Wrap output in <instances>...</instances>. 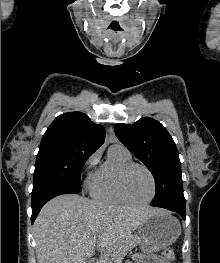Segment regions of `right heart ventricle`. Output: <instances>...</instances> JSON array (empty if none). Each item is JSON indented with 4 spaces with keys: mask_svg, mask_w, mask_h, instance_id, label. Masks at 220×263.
I'll return each mask as SVG.
<instances>
[{
    "mask_svg": "<svg viewBox=\"0 0 220 263\" xmlns=\"http://www.w3.org/2000/svg\"><path fill=\"white\" fill-rule=\"evenodd\" d=\"M132 162L129 152L117 146L110 147L105 162L94 172L89 189L91 196L101 202L109 204L126 203L117 189V176L119 170Z\"/></svg>",
    "mask_w": 220,
    "mask_h": 263,
    "instance_id": "e07e8e85",
    "label": "right heart ventricle"
}]
</instances>
